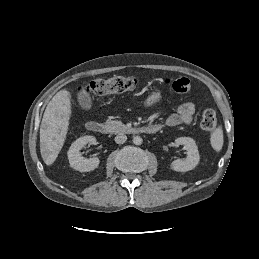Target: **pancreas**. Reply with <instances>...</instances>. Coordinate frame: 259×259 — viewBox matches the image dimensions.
<instances>
[{
	"label": "pancreas",
	"mask_w": 259,
	"mask_h": 259,
	"mask_svg": "<svg viewBox=\"0 0 259 259\" xmlns=\"http://www.w3.org/2000/svg\"><path fill=\"white\" fill-rule=\"evenodd\" d=\"M105 126L109 133H126L129 131V128L123 124L121 121L117 120H107Z\"/></svg>",
	"instance_id": "obj_1"
}]
</instances>
